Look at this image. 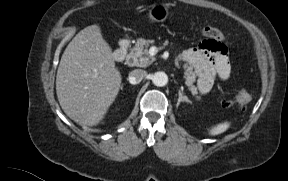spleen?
<instances>
[{
    "label": "spleen",
    "mask_w": 288,
    "mask_h": 181,
    "mask_svg": "<svg viewBox=\"0 0 288 181\" xmlns=\"http://www.w3.org/2000/svg\"><path fill=\"white\" fill-rule=\"evenodd\" d=\"M229 127L227 122L217 125L216 127L212 128L211 134L216 135L224 132Z\"/></svg>",
    "instance_id": "1"
}]
</instances>
